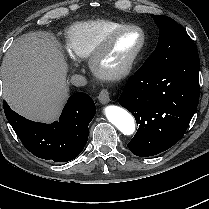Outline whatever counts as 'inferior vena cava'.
<instances>
[{
  "mask_svg": "<svg viewBox=\"0 0 209 209\" xmlns=\"http://www.w3.org/2000/svg\"><path fill=\"white\" fill-rule=\"evenodd\" d=\"M71 83L75 86H85L87 80L84 76L75 74L71 76Z\"/></svg>",
  "mask_w": 209,
  "mask_h": 209,
  "instance_id": "inferior-vena-cava-1",
  "label": "inferior vena cava"
}]
</instances>
